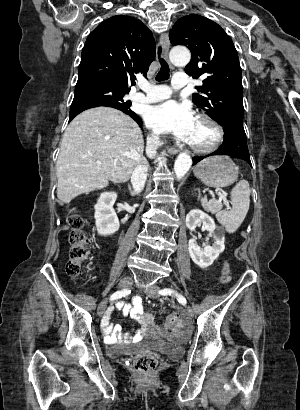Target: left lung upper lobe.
Wrapping results in <instances>:
<instances>
[{"mask_svg":"<svg viewBox=\"0 0 300 410\" xmlns=\"http://www.w3.org/2000/svg\"><path fill=\"white\" fill-rule=\"evenodd\" d=\"M173 45H185L192 54L185 72L203 75L204 95L193 94V103L220 125L233 121L243 125V87L235 46L225 31L210 19L190 14L180 18L169 33Z\"/></svg>","mask_w":300,"mask_h":410,"instance_id":"obj_1","label":"left lung upper lobe"}]
</instances>
